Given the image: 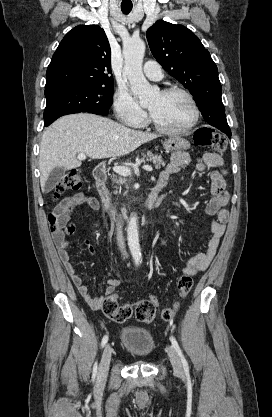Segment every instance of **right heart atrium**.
Wrapping results in <instances>:
<instances>
[{
  "instance_id": "right-heart-atrium-1",
  "label": "right heart atrium",
  "mask_w": 272,
  "mask_h": 417,
  "mask_svg": "<svg viewBox=\"0 0 272 417\" xmlns=\"http://www.w3.org/2000/svg\"><path fill=\"white\" fill-rule=\"evenodd\" d=\"M113 109L117 119L128 126H139L146 118L145 111L125 87H119L114 93Z\"/></svg>"
}]
</instances>
